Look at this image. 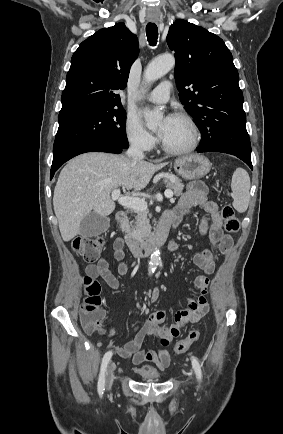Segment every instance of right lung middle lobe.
I'll return each instance as SVG.
<instances>
[{"mask_svg": "<svg viewBox=\"0 0 283 434\" xmlns=\"http://www.w3.org/2000/svg\"><path fill=\"white\" fill-rule=\"evenodd\" d=\"M59 128L53 157L69 148L91 141H108L126 149V113L123 107L58 116Z\"/></svg>", "mask_w": 283, "mask_h": 434, "instance_id": "obj_1", "label": "right lung middle lobe"}]
</instances>
